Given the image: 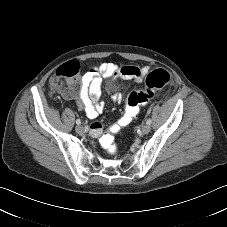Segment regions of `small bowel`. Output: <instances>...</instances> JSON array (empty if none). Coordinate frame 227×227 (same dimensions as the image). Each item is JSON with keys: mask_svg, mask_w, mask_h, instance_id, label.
I'll return each instance as SVG.
<instances>
[{"mask_svg": "<svg viewBox=\"0 0 227 227\" xmlns=\"http://www.w3.org/2000/svg\"><path fill=\"white\" fill-rule=\"evenodd\" d=\"M137 68L141 72V76L131 78L124 74V71ZM150 68L148 66L135 67L132 65L118 66L114 63L103 62L89 68L83 75L81 80V90L78 98L65 95L66 99H75L80 110L84 111L86 116L95 120L103 111L104 105L100 100L101 82L103 78H112L121 76L125 79H132L136 83H141L148 74ZM57 74L51 80H55ZM113 100L118 101L119 97L113 95ZM103 131V126L98 121H93L89 125V133L93 137H98Z\"/></svg>", "mask_w": 227, "mask_h": 227, "instance_id": "obj_1", "label": "small bowel"}]
</instances>
